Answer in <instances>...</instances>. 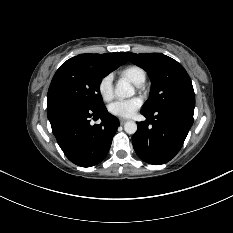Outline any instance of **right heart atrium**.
Instances as JSON below:
<instances>
[{
	"label": "right heart atrium",
	"mask_w": 233,
	"mask_h": 233,
	"mask_svg": "<svg viewBox=\"0 0 233 233\" xmlns=\"http://www.w3.org/2000/svg\"><path fill=\"white\" fill-rule=\"evenodd\" d=\"M98 92L104 101L113 98V78L111 74L103 76L98 82Z\"/></svg>",
	"instance_id": "1"
}]
</instances>
